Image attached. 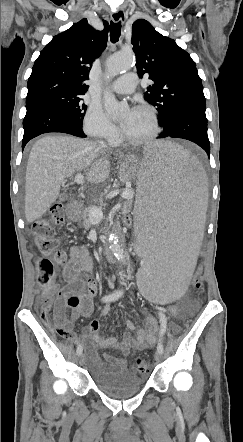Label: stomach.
Here are the masks:
<instances>
[{
    "instance_id": "0dacf381",
    "label": "stomach",
    "mask_w": 243,
    "mask_h": 442,
    "mask_svg": "<svg viewBox=\"0 0 243 442\" xmlns=\"http://www.w3.org/2000/svg\"><path fill=\"white\" fill-rule=\"evenodd\" d=\"M139 163V158L134 155H126L118 167L119 179L121 182L132 180L136 177V167Z\"/></svg>"
}]
</instances>
